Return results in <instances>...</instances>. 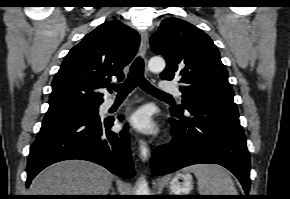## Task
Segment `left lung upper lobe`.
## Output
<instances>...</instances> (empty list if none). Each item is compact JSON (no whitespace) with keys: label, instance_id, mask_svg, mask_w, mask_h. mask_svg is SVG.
<instances>
[{"label":"left lung upper lobe","instance_id":"left-lung-upper-lobe-1","mask_svg":"<svg viewBox=\"0 0 290 199\" xmlns=\"http://www.w3.org/2000/svg\"><path fill=\"white\" fill-rule=\"evenodd\" d=\"M151 48L165 57L164 80L181 83L182 110L189 102H200L224 111L238 112L228 72L210 37L194 25L177 18L164 19L151 37Z\"/></svg>","mask_w":290,"mask_h":199}]
</instances>
